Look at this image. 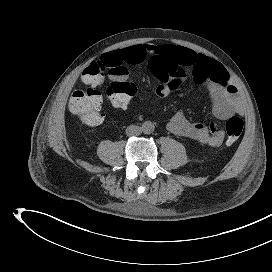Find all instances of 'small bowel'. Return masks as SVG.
<instances>
[{
	"instance_id": "c3829d8e",
	"label": "small bowel",
	"mask_w": 272,
	"mask_h": 272,
	"mask_svg": "<svg viewBox=\"0 0 272 272\" xmlns=\"http://www.w3.org/2000/svg\"><path fill=\"white\" fill-rule=\"evenodd\" d=\"M145 61H148L152 73L158 79L155 89L157 96L170 95L190 77L196 84L206 86L212 100L213 113L217 118L225 120L234 114L243 115L242 98L227 70L204 54L171 44H139L110 51L99 60L109 68L121 66L126 70L127 65H137ZM168 129L178 136L211 147H220L225 140L224 131L217 129L214 123L206 126L191 122L180 112L172 116Z\"/></svg>"
}]
</instances>
